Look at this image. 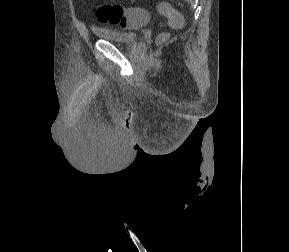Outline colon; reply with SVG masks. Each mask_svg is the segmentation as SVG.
<instances>
[{"instance_id": "5ec220e1", "label": "colon", "mask_w": 289, "mask_h": 252, "mask_svg": "<svg viewBox=\"0 0 289 252\" xmlns=\"http://www.w3.org/2000/svg\"><path fill=\"white\" fill-rule=\"evenodd\" d=\"M158 11L169 19L171 27L178 28L182 26V16L169 3L160 2ZM96 14L100 22L123 28L138 27L142 22L147 23L150 18V14L145 8H126L117 4L101 5L98 7Z\"/></svg>"}]
</instances>
